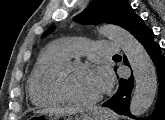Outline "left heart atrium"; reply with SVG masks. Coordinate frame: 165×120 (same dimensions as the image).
<instances>
[{
	"label": "left heart atrium",
	"instance_id": "1",
	"mask_svg": "<svg viewBox=\"0 0 165 120\" xmlns=\"http://www.w3.org/2000/svg\"><path fill=\"white\" fill-rule=\"evenodd\" d=\"M91 72L101 92L106 91L111 87L112 76L106 67L96 66L91 70Z\"/></svg>",
	"mask_w": 165,
	"mask_h": 120
}]
</instances>
